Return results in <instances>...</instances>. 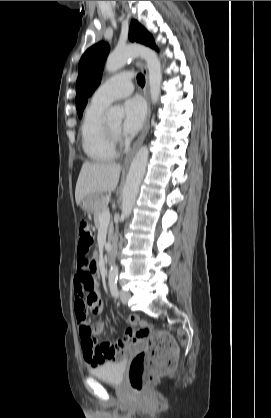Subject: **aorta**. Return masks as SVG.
<instances>
[{"mask_svg": "<svg viewBox=\"0 0 271 418\" xmlns=\"http://www.w3.org/2000/svg\"><path fill=\"white\" fill-rule=\"evenodd\" d=\"M141 57L146 61L149 72L150 96L153 104L158 102L161 92L162 69L161 62L152 49L142 45H129L115 49L107 58L105 69L112 73L121 69L130 58ZM109 122L120 124L124 112L119 107H111L106 114ZM147 146H142L132 160L122 195V217L128 218L135 204L139 187L143 179L148 161ZM118 275V267L111 266L109 279L114 280Z\"/></svg>", "mask_w": 271, "mask_h": 418, "instance_id": "obj_1", "label": "aorta"}]
</instances>
